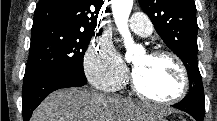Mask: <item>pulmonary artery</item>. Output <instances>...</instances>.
Listing matches in <instances>:
<instances>
[{
    "mask_svg": "<svg viewBox=\"0 0 217 121\" xmlns=\"http://www.w3.org/2000/svg\"><path fill=\"white\" fill-rule=\"evenodd\" d=\"M130 28L140 36H149L153 32V25L149 18L140 12L132 14L129 20Z\"/></svg>",
    "mask_w": 217,
    "mask_h": 121,
    "instance_id": "e3ab8cb5",
    "label": "pulmonary artery"
}]
</instances>
